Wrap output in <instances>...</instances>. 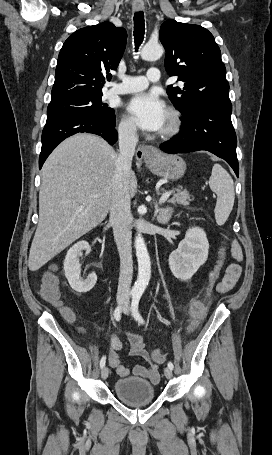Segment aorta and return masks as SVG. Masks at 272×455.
Listing matches in <instances>:
<instances>
[{"label": "aorta", "mask_w": 272, "mask_h": 455, "mask_svg": "<svg viewBox=\"0 0 272 455\" xmlns=\"http://www.w3.org/2000/svg\"><path fill=\"white\" fill-rule=\"evenodd\" d=\"M164 49L158 43H147L141 50V58L146 61L158 60L163 55ZM140 212H145L146 207L140 206ZM136 256L138 261V277L133 286V291L142 294L150 280L151 262L145 245L144 239L140 231L135 237Z\"/></svg>", "instance_id": "762f6f07"}]
</instances>
